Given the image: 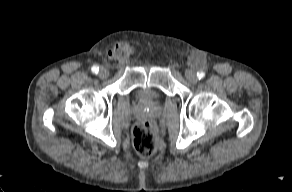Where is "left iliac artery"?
I'll use <instances>...</instances> for the list:
<instances>
[{"instance_id": "left-iliac-artery-1", "label": "left iliac artery", "mask_w": 292, "mask_h": 192, "mask_svg": "<svg viewBox=\"0 0 292 192\" xmlns=\"http://www.w3.org/2000/svg\"><path fill=\"white\" fill-rule=\"evenodd\" d=\"M204 76H205V73L203 71H200L197 73L198 79H202V78H204Z\"/></svg>"}]
</instances>
